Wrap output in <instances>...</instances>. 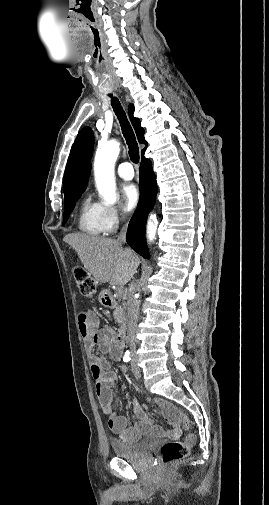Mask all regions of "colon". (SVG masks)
Wrapping results in <instances>:
<instances>
[{"mask_svg":"<svg viewBox=\"0 0 269 505\" xmlns=\"http://www.w3.org/2000/svg\"><path fill=\"white\" fill-rule=\"evenodd\" d=\"M74 278L79 292L85 297H91L96 292V284L92 276L83 267H75ZM179 421L188 426V420L181 413L178 416ZM194 441L193 436L189 435L184 441H170L161 447V459L165 465L174 464L184 459L189 452V447Z\"/></svg>","mask_w":269,"mask_h":505,"instance_id":"5ec220e1","label":"colon"}]
</instances>
